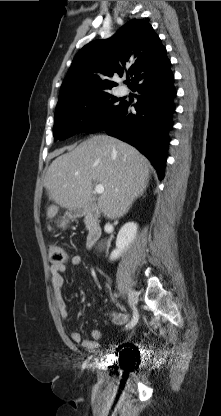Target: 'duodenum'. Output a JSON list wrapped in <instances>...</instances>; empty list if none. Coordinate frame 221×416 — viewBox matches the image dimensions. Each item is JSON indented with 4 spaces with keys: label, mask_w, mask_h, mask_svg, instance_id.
Wrapping results in <instances>:
<instances>
[{
    "label": "duodenum",
    "mask_w": 221,
    "mask_h": 416,
    "mask_svg": "<svg viewBox=\"0 0 221 416\" xmlns=\"http://www.w3.org/2000/svg\"><path fill=\"white\" fill-rule=\"evenodd\" d=\"M76 217H85L88 223V234L86 244L88 248H92L100 240L102 229L98 222V209L90 207L89 209H76L73 211Z\"/></svg>",
    "instance_id": "1"
}]
</instances>
